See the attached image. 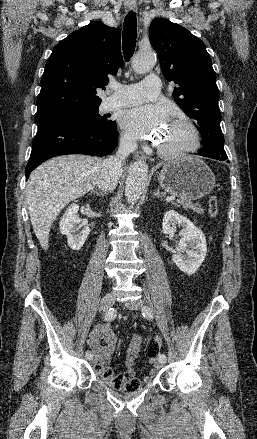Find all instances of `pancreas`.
I'll return each mask as SVG.
<instances>
[{
	"label": "pancreas",
	"instance_id": "pancreas-1",
	"mask_svg": "<svg viewBox=\"0 0 257 439\" xmlns=\"http://www.w3.org/2000/svg\"><path fill=\"white\" fill-rule=\"evenodd\" d=\"M174 205L177 207H182L185 210H192L193 212H196L198 214H203V209L200 208L199 203H193L189 200H182V201H176L174 202Z\"/></svg>",
	"mask_w": 257,
	"mask_h": 439
}]
</instances>
